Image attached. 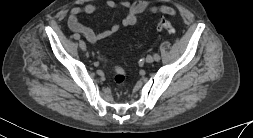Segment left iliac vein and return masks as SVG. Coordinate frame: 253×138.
<instances>
[{
	"label": "left iliac vein",
	"mask_w": 253,
	"mask_h": 138,
	"mask_svg": "<svg viewBox=\"0 0 253 138\" xmlns=\"http://www.w3.org/2000/svg\"><path fill=\"white\" fill-rule=\"evenodd\" d=\"M146 62L147 63H152V62H154V56H152V55H147V57H146Z\"/></svg>",
	"instance_id": "left-iliac-vein-1"
}]
</instances>
